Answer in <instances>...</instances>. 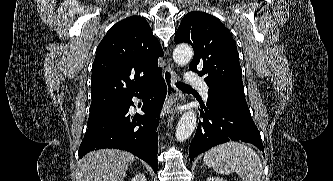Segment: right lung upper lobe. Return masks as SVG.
Masks as SVG:
<instances>
[{
  "label": "right lung upper lobe",
  "instance_id": "cb5924a9",
  "mask_svg": "<svg viewBox=\"0 0 333 181\" xmlns=\"http://www.w3.org/2000/svg\"><path fill=\"white\" fill-rule=\"evenodd\" d=\"M163 51L141 16L115 24L102 39L92 66L90 110L115 105L158 82Z\"/></svg>",
  "mask_w": 333,
  "mask_h": 181
}]
</instances>
